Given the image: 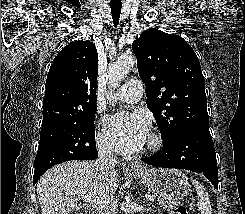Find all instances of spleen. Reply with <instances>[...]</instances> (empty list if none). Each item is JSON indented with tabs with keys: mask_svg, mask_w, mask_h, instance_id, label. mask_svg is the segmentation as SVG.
<instances>
[{
	"mask_svg": "<svg viewBox=\"0 0 245 214\" xmlns=\"http://www.w3.org/2000/svg\"><path fill=\"white\" fill-rule=\"evenodd\" d=\"M192 183L197 192V206L199 211L201 214H212L210 199L205 188L197 180H193Z\"/></svg>",
	"mask_w": 245,
	"mask_h": 214,
	"instance_id": "obj_1",
	"label": "spleen"
}]
</instances>
